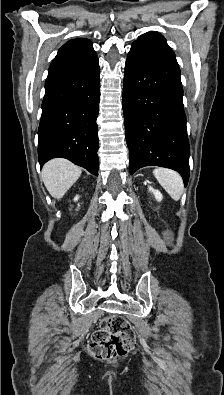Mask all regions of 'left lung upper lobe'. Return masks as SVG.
Here are the masks:
<instances>
[{"label": "left lung upper lobe", "instance_id": "obj_1", "mask_svg": "<svg viewBox=\"0 0 224 395\" xmlns=\"http://www.w3.org/2000/svg\"><path fill=\"white\" fill-rule=\"evenodd\" d=\"M136 41L162 47L163 49L173 53L172 49L166 43V39L156 31L147 32L141 35Z\"/></svg>", "mask_w": 224, "mask_h": 395}]
</instances>
